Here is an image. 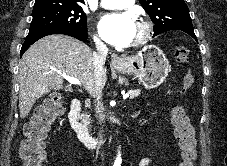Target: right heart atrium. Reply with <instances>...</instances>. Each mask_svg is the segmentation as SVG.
Here are the masks:
<instances>
[{
    "mask_svg": "<svg viewBox=\"0 0 227 166\" xmlns=\"http://www.w3.org/2000/svg\"><path fill=\"white\" fill-rule=\"evenodd\" d=\"M94 40L97 45H103V41L98 36H95Z\"/></svg>",
    "mask_w": 227,
    "mask_h": 166,
    "instance_id": "right-heart-atrium-1",
    "label": "right heart atrium"
}]
</instances>
